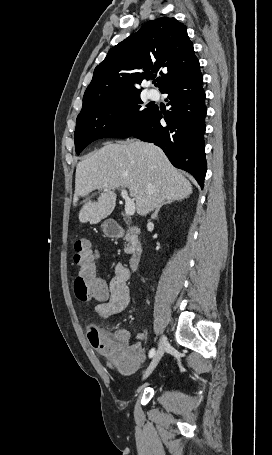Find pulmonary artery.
<instances>
[{
	"mask_svg": "<svg viewBox=\"0 0 272 455\" xmlns=\"http://www.w3.org/2000/svg\"><path fill=\"white\" fill-rule=\"evenodd\" d=\"M148 96L150 99H158L159 98V93L157 90H154V89H150L149 92H148Z\"/></svg>",
	"mask_w": 272,
	"mask_h": 455,
	"instance_id": "pulmonary-artery-1",
	"label": "pulmonary artery"
}]
</instances>
